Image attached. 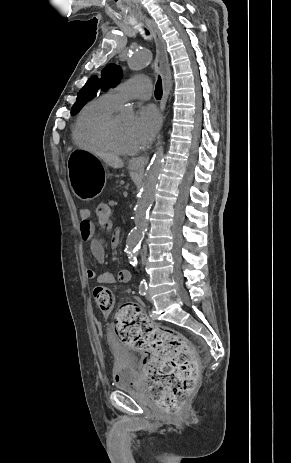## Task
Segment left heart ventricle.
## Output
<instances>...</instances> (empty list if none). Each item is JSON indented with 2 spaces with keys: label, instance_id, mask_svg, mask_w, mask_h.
Listing matches in <instances>:
<instances>
[{
  "label": "left heart ventricle",
  "instance_id": "1",
  "mask_svg": "<svg viewBox=\"0 0 291 463\" xmlns=\"http://www.w3.org/2000/svg\"><path fill=\"white\" fill-rule=\"evenodd\" d=\"M132 118L118 115L115 125V140L117 144L128 150L137 149L138 145L131 131Z\"/></svg>",
  "mask_w": 291,
  "mask_h": 463
}]
</instances>
